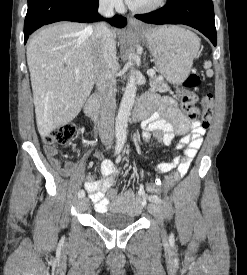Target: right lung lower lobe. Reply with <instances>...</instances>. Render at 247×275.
Masks as SVG:
<instances>
[{"label":"right lung lower lobe","instance_id":"obj_1","mask_svg":"<svg viewBox=\"0 0 247 275\" xmlns=\"http://www.w3.org/2000/svg\"><path fill=\"white\" fill-rule=\"evenodd\" d=\"M99 0H28L24 22V43L30 34L43 25L58 21L95 22L102 20L97 13ZM113 26L124 27L126 18L114 16L108 20Z\"/></svg>","mask_w":247,"mask_h":275}]
</instances>
